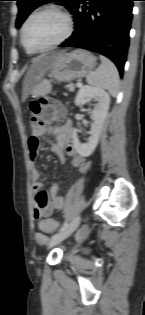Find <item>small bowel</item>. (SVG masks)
<instances>
[{"instance_id":"c3829d8e","label":"small bowel","mask_w":145,"mask_h":315,"mask_svg":"<svg viewBox=\"0 0 145 315\" xmlns=\"http://www.w3.org/2000/svg\"><path fill=\"white\" fill-rule=\"evenodd\" d=\"M54 103V102H52ZM57 104V103H54ZM58 105V104H57ZM45 129L39 127L35 130V134L27 137V147H29V157L35 161L38 154V149L41 147V139L37 137L45 133ZM54 141L51 144V150L61 159L63 163L67 158L71 159V165L80 170L82 173H87L90 164L85 158L76 151L73 143V126L71 122H66L59 127L51 130ZM32 189L37 192L35 196L36 207L34 208V218L43 221L45 216H51L52 213L61 206V198L59 195L60 186L58 183L53 184L49 189V197L45 190H41L42 184L40 182V173L38 169L33 166L31 168ZM35 239L37 242L44 244L48 241L43 233H36Z\"/></svg>"}]
</instances>
